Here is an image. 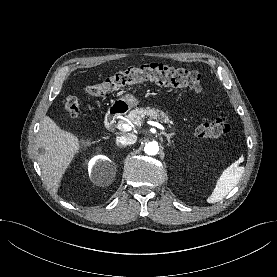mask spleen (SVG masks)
<instances>
[{"label": "spleen", "instance_id": "obj_1", "mask_svg": "<svg viewBox=\"0 0 277 277\" xmlns=\"http://www.w3.org/2000/svg\"><path fill=\"white\" fill-rule=\"evenodd\" d=\"M244 171L243 166L233 163L226 168L219 177L212 194L208 197V203H216L222 200L239 182Z\"/></svg>", "mask_w": 277, "mask_h": 277}]
</instances>
